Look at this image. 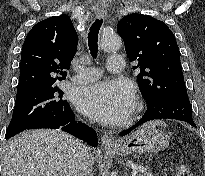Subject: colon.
Returning a JSON list of instances; mask_svg holds the SVG:
<instances>
[{"label": "colon", "instance_id": "obj_1", "mask_svg": "<svg viewBox=\"0 0 205 176\" xmlns=\"http://www.w3.org/2000/svg\"><path fill=\"white\" fill-rule=\"evenodd\" d=\"M175 174L176 176H193L190 168L183 162L176 165Z\"/></svg>", "mask_w": 205, "mask_h": 176}]
</instances>
